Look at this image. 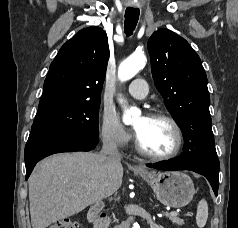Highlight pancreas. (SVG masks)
<instances>
[{
  "instance_id": "obj_1",
  "label": "pancreas",
  "mask_w": 238,
  "mask_h": 228,
  "mask_svg": "<svg viewBox=\"0 0 238 228\" xmlns=\"http://www.w3.org/2000/svg\"><path fill=\"white\" fill-rule=\"evenodd\" d=\"M167 217L174 224H177V225H183L184 224V221L182 219H180L179 217H177V215L176 216L168 215Z\"/></svg>"
}]
</instances>
